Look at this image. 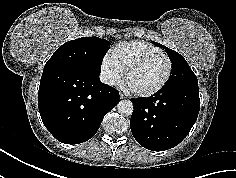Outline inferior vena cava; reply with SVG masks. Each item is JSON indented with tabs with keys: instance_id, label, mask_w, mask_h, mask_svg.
Returning <instances> with one entry per match:
<instances>
[{
	"instance_id": "602c4592",
	"label": "inferior vena cava",
	"mask_w": 236,
	"mask_h": 178,
	"mask_svg": "<svg viewBox=\"0 0 236 178\" xmlns=\"http://www.w3.org/2000/svg\"><path fill=\"white\" fill-rule=\"evenodd\" d=\"M100 80H101L103 83L108 84V85H111V86L115 84L114 78H113L111 75L106 74V73H102V74L100 75Z\"/></svg>"
}]
</instances>
